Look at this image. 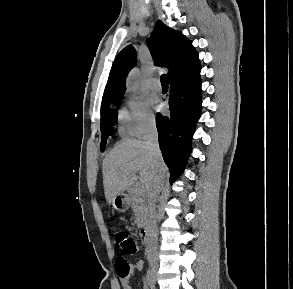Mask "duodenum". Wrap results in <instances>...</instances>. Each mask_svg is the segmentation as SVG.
I'll list each match as a JSON object with an SVG mask.
<instances>
[{
	"instance_id": "obj_1",
	"label": "duodenum",
	"mask_w": 293,
	"mask_h": 289,
	"mask_svg": "<svg viewBox=\"0 0 293 289\" xmlns=\"http://www.w3.org/2000/svg\"><path fill=\"white\" fill-rule=\"evenodd\" d=\"M141 239L142 242L147 245L150 242L151 235H152V226L151 224L147 223L141 228Z\"/></svg>"
}]
</instances>
